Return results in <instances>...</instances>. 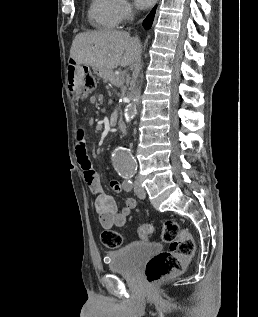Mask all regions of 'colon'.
I'll return each instance as SVG.
<instances>
[{
	"mask_svg": "<svg viewBox=\"0 0 258 317\" xmlns=\"http://www.w3.org/2000/svg\"><path fill=\"white\" fill-rule=\"evenodd\" d=\"M96 87L92 72L82 70V93L87 95ZM155 226L149 223L138 228V235L144 240L151 239L155 234ZM161 238L169 244V249L150 258L145 265V278L149 284L157 283L170 274L181 272L189 259L193 257L196 245L192 235L172 220L165 221L160 229ZM102 244L109 249L119 248L123 237L119 232L105 230L101 234Z\"/></svg>",
	"mask_w": 258,
	"mask_h": 317,
	"instance_id": "obj_1",
	"label": "colon"
}]
</instances>
